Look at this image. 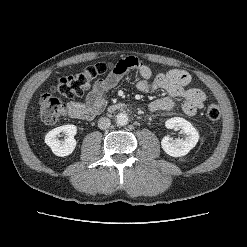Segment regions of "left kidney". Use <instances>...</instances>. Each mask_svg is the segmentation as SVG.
Here are the masks:
<instances>
[{
	"mask_svg": "<svg viewBox=\"0 0 247 247\" xmlns=\"http://www.w3.org/2000/svg\"><path fill=\"white\" fill-rule=\"evenodd\" d=\"M168 129H181L186 134L185 139H173L165 136L161 141L162 149L172 157H181L186 155L194 148L199 140L197 130L190 122L181 117L170 118L165 122Z\"/></svg>",
	"mask_w": 247,
	"mask_h": 247,
	"instance_id": "5707ae66",
	"label": "left kidney"
}]
</instances>
